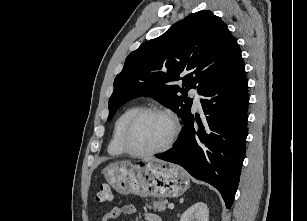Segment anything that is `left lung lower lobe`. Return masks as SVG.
<instances>
[{
	"label": "left lung lower lobe",
	"instance_id": "1",
	"mask_svg": "<svg viewBox=\"0 0 307 221\" xmlns=\"http://www.w3.org/2000/svg\"><path fill=\"white\" fill-rule=\"evenodd\" d=\"M206 115L199 129L191 114L173 148L156 157L182 166L196 179L214 186L230 208L235 196L247 137L248 86L241 53L203 94Z\"/></svg>",
	"mask_w": 307,
	"mask_h": 221
}]
</instances>
